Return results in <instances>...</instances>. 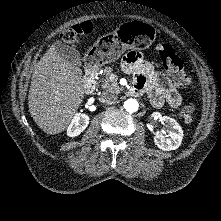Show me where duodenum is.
<instances>
[{
  "instance_id": "obj_1",
  "label": "duodenum",
  "mask_w": 221,
  "mask_h": 221,
  "mask_svg": "<svg viewBox=\"0 0 221 221\" xmlns=\"http://www.w3.org/2000/svg\"><path fill=\"white\" fill-rule=\"evenodd\" d=\"M94 74H95V68L91 63H89L86 68L85 76L82 79L83 86H84V89L86 92L91 91L94 86V83H95ZM130 91L132 94H135L136 90H135L134 86L131 87Z\"/></svg>"
}]
</instances>
